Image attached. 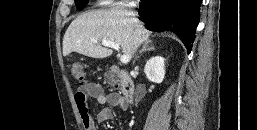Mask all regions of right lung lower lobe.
<instances>
[{"label":"right lung lower lobe","instance_id":"98d812e1","mask_svg":"<svg viewBox=\"0 0 257 130\" xmlns=\"http://www.w3.org/2000/svg\"><path fill=\"white\" fill-rule=\"evenodd\" d=\"M140 20L152 31L175 33L188 50H192L200 18L201 0H142Z\"/></svg>","mask_w":257,"mask_h":130}]
</instances>
